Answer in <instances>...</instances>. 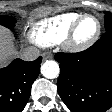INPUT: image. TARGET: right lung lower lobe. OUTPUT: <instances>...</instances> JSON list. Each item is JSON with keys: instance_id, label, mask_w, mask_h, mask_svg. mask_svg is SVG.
Returning <instances> with one entry per match:
<instances>
[{"instance_id": "98d812e1", "label": "right lung lower lobe", "mask_w": 112, "mask_h": 112, "mask_svg": "<svg viewBox=\"0 0 112 112\" xmlns=\"http://www.w3.org/2000/svg\"><path fill=\"white\" fill-rule=\"evenodd\" d=\"M42 58L32 62L15 59L0 69V112H22L39 75Z\"/></svg>"}]
</instances>
